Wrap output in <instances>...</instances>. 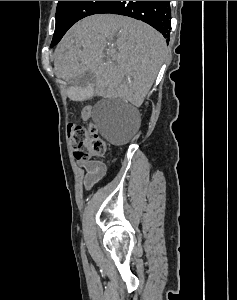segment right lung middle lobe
<instances>
[{
	"label": "right lung middle lobe",
	"instance_id": "right-lung-middle-lobe-1",
	"mask_svg": "<svg viewBox=\"0 0 237 300\" xmlns=\"http://www.w3.org/2000/svg\"><path fill=\"white\" fill-rule=\"evenodd\" d=\"M107 1H58L56 26L51 47L80 19L95 14Z\"/></svg>",
	"mask_w": 237,
	"mask_h": 300
}]
</instances>
